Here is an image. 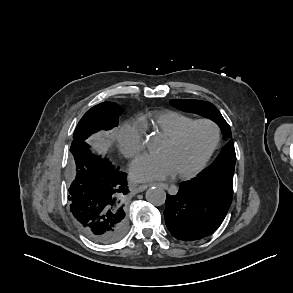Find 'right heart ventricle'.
Segmentation results:
<instances>
[{"instance_id": "e07e8e85", "label": "right heart ventricle", "mask_w": 293, "mask_h": 293, "mask_svg": "<svg viewBox=\"0 0 293 293\" xmlns=\"http://www.w3.org/2000/svg\"><path fill=\"white\" fill-rule=\"evenodd\" d=\"M195 120L193 117L181 112L164 110L152 112L142 117L140 123L142 126L151 124L164 137L170 136L178 131L181 127Z\"/></svg>"}]
</instances>
